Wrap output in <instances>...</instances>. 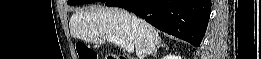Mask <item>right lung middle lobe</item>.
Segmentation results:
<instances>
[{"label": "right lung middle lobe", "mask_w": 261, "mask_h": 59, "mask_svg": "<svg viewBox=\"0 0 261 59\" xmlns=\"http://www.w3.org/2000/svg\"><path fill=\"white\" fill-rule=\"evenodd\" d=\"M96 0H70L69 2H68V4H70V5H78V4H86V3H93V2H95ZM98 1V0H97ZM99 1H101V2H104V1H106V0H99Z\"/></svg>", "instance_id": "obj_1"}]
</instances>
